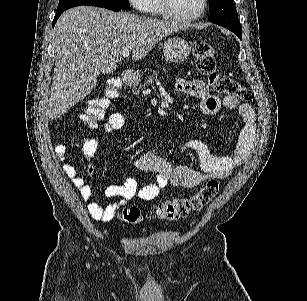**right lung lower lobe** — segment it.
Instances as JSON below:
<instances>
[{
  "label": "right lung lower lobe",
  "instance_id": "1",
  "mask_svg": "<svg viewBox=\"0 0 307 301\" xmlns=\"http://www.w3.org/2000/svg\"><path fill=\"white\" fill-rule=\"evenodd\" d=\"M104 8H107V9H110V10H113V11H120V9L114 8V7H104ZM63 12H64V11H63ZM63 12L56 13V15H55V17H54V20H53V24H52L53 27H54L55 23L57 22L59 16H60Z\"/></svg>",
  "mask_w": 307,
  "mask_h": 301
}]
</instances>
